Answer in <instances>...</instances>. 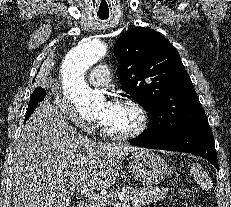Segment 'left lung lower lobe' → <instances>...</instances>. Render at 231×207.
I'll return each instance as SVG.
<instances>
[{"label":"left lung lower lobe","mask_w":231,"mask_h":207,"mask_svg":"<svg viewBox=\"0 0 231 207\" xmlns=\"http://www.w3.org/2000/svg\"><path fill=\"white\" fill-rule=\"evenodd\" d=\"M132 145L193 153L210 161L219 170L213 133L210 128H197L166 141H154L140 137L130 141Z\"/></svg>","instance_id":"0a47b994"}]
</instances>
